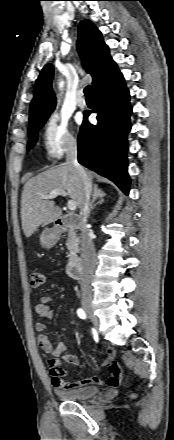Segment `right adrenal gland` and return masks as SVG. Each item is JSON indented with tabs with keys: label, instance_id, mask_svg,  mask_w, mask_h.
<instances>
[{
	"label": "right adrenal gland",
	"instance_id": "1",
	"mask_svg": "<svg viewBox=\"0 0 174 440\" xmlns=\"http://www.w3.org/2000/svg\"><path fill=\"white\" fill-rule=\"evenodd\" d=\"M105 196H106V193L101 188H99L98 185H94L93 200L90 205V211H92L95 208V206H96L95 201L97 199H100V201L98 203H102L104 201Z\"/></svg>",
	"mask_w": 174,
	"mask_h": 440
}]
</instances>
